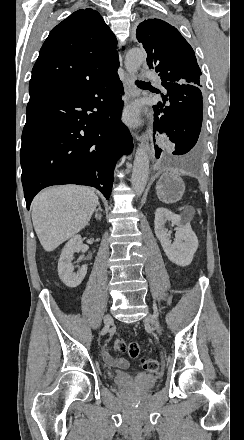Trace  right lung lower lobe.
<instances>
[{
    "mask_svg": "<svg viewBox=\"0 0 244 440\" xmlns=\"http://www.w3.org/2000/svg\"><path fill=\"white\" fill-rule=\"evenodd\" d=\"M116 88L123 92L117 70L73 89L30 96L20 150L28 210L51 185L93 186L110 197L116 160L133 148Z\"/></svg>",
    "mask_w": 244,
    "mask_h": 440,
    "instance_id": "obj_1",
    "label": "right lung lower lobe"
}]
</instances>
